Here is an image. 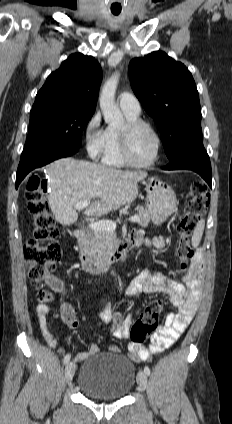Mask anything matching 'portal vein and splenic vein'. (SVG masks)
<instances>
[{
    "label": "portal vein and splenic vein",
    "instance_id": "1",
    "mask_svg": "<svg viewBox=\"0 0 232 424\" xmlns=\"http://www.w3.org/2000/svg\"><path fill=\"white\" fill-rule=\"evenodd\" d=\"M90 204L89 201H80L75 203L74 208L77 210L84 209ZM131 222H139L140 218L138 216H132L129 218ZM89 227L93 230H108V231H115L116 229V222L109 221V220H100V221H93L89 224Z\"/></svg>",
    "mask_w": 232,
    "mask_h": 424
}]
</instances>
